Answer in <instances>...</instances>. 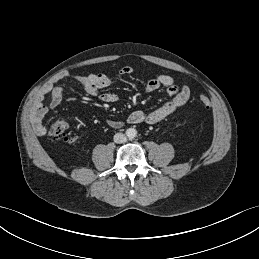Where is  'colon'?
Wrapping results in <instances>:
<instances>
[{
	"label": "colon",
	"instance_id": "1",
	"mask_svg": "<svg viewBox=\"0 0 259 259\" xmlns=\"http://www.w3.org/2000/svg\"><path fill=\"white\" fill-rule=\"evenodd\" d=\"M200 103L205 109H210L211 104L207 97H200ZM49 135L55 140L67 142L68 137V123L65 120H58L54 122L49 128Z\"/></svg>",
	"mask_w": 259,
	"mask_h": 259
}]
</instances>
